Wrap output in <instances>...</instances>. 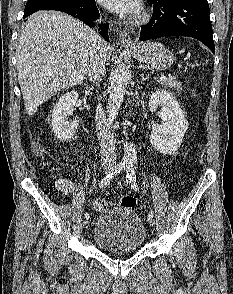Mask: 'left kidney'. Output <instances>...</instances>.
Masks as SVG:
<instances>
[{
    "mask_svg": "<svg viewBox=\"0 0 233 294\" xmlns=\"http://www.w3.org/2000/svg\"><path fill=\"white\" fill-rule=\"evenodd\" d=\"M161 107L163 124H153L150 135L151 145L162 154H174L181 146L188 129L185 117L176 98L166 90H156L149 99L150 111Z\"/></svg>",
    "mask_w": 233,
    "mask_h": 294,
    "instance_id": "1",
    "label": "left kidney"
}]
</instances>
